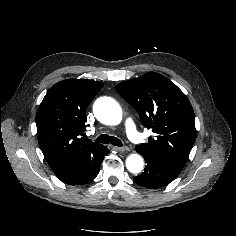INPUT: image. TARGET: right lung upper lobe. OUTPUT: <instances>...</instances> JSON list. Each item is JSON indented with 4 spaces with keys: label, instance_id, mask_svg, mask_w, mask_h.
Here are the masks:
<instances>
[{
    "label": "right lung upper lobe",
    "instance_id": "right-lung-upper-lobe-1",
    "mask_svg": "<svg viewBox=\"0 0 236 236\" xmlns=\"http://www.w3.org/2000/svg\"><path fill=\"white\" fill-rule=\"evenodd\" d=\"M103 84L67 79L46 93L36 114L37 137L42 153L57 177L72 170L85 157L104 146L81 137L86 129L85 110Z\"/></svg>",
    "mask_w": 236,
    "mask_h": 236
}]
</instances>
